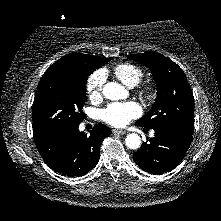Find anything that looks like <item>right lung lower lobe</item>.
Segmentation results:
<instances>
[{
	"label": "right lung lower lobe",
	"mask_w": 221,
	"mask_h": 221,
	"mask_svg": "<svg viewBox=\"0 0 221 221\" xmlns=\"http://www.w3.org/2000/svg\"><path fill=\"white\" fill-rule=\"evenodd\" d=\"M78 126L79 124L63 128L35 142L45 163L55 172L84 176L97 165L101 142L111 135V130L97 124L87 136L79 131Z\"/></svg>",
	"instance_id": "98d812e1"
}]
</instances>
